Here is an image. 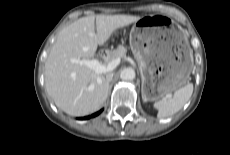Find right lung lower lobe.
<instances>
[{
  "label": "right lung lower lobe",
  "instance_id": "98d812e1",
  "mask_svg": "<svg viewBox=\"0 0 230 155\" xmlns=\"http://www.w3.org/2000/svg\"><path fill=\"white\" fill-rule=\"evenodd\" d=\"M101 111H102V110H101ZM101 111H99V112H97V113H95V114H93V115H91V116L83 117V118H81V119H89V118H91V117H95V116L99 115V114L101 113Z\"/></svg>",
  "mask_w": 230,
  "mask_h": 155
}]
</instances>
